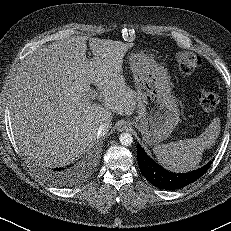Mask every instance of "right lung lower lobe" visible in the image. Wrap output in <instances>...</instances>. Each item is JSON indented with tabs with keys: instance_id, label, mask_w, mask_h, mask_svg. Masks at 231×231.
<instances>
[{
	"instance_id": "1",
	"label": "right lung lower lobe",
	"mask_w": 231,
	"mask_h": 231,
	"mask_svg": "<svg viewBox=\"0 0 231 231\" xmlns=\"http://www.w3.org/2000/svg\"><path fill=\"white\" fill-rule=\"evenodd\" d=\"M95 155L92 154L83 159L80 163L60 168L42 169V175L50 182L60 186L75 185L82 178L83 174L92 166Z\"/></svg>"
}]
</instances>
